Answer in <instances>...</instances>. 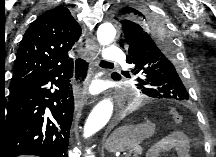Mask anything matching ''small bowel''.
Listing matches in <instances>:
<instances>
[{"label":"small bowel","instance_id":"1","mask_svg":"<svg viewBox=\"0 0 216 157\" xmlns=\"http://www.w3.org/2000/svg\"><path fill=\"white\" fill-rule=\"evenodd\" d=\"M194 142L183 131L172 132L164 142L160 153L164 154L168 151H175L179 157H191Z\"/></svg>","mask_w":216,"mask_h":157}]
</instances>
